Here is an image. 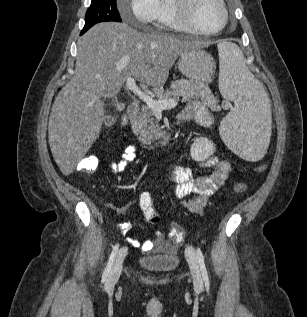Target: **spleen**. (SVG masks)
Masks as SVG:
<instances>
[{"mask_svg": "<svg viewBox=\"0 0 307 317\" xmlns=\"http://www.w3.org/2000/svg\"><path fill=\"white\" fill-rule=\"evenodd\" d=\"M219 52V89L235 102L234 109L221 122L223 141L241 160H260L269 155L273 111L264 86L247 69L242 51L231 40L217 41Z\"/></svg>", "mask_w": 307, "mask_h": 317, "instance_id": "spleen-1", "label": "spleen"}]
</instances>
